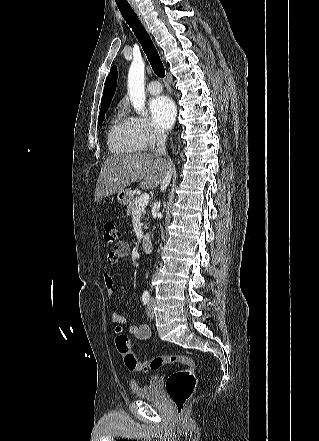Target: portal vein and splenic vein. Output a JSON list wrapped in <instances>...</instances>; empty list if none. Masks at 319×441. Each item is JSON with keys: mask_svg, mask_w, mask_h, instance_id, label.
I'll return each instance as SVG.
<instances>
[{"mask_svg": "<svg viewBox=\"0 0 319 441\" xmlns=\"http://www.w3.org/2000/svg\"><path fill=\"white\" fill-rule=\"evenodd\" d=\"M148 202H149V195L147 193L142 194L138 200V204L136 206L133 215L141 213L148 204Z\"/></svg>", "mask_w": 319, "mask_h": 441, "instance_id": "obj_1", "label": "portal vein and splenic vein"}]
</instances>
